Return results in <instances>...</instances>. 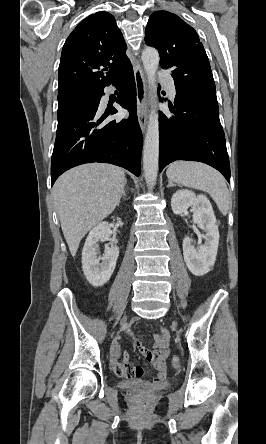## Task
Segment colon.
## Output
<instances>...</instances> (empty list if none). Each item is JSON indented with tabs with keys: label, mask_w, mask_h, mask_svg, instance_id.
Segmentation results:
<instances>
[{
	"label": "colon",
	"mask_w": 266,
	"mask_h": 444,
	"mask_svg": "<svg viewBox=\"0 0 266 444\" xmlns=\"http://www.w3.org/2000/svg\"><path fill=\"white\" fill-rule=\"evenodd\" d=\"M171 365H172L174 368L179 367V365H180L179 358L176 357V356L172 357V359H171Z\"/></svg>",
	"instance_id": "1"
}]
</instances>
